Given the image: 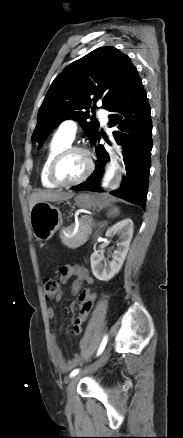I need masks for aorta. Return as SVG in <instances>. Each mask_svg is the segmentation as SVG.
I'll return each mask as SVG.
<instances>
[{
    "instance_id": "762f6f07",
    "label": "aorta",
    "mask_w": 183,
    "mask_h": 438,
    "mask_svg": "<svg viewBox=\"0 0 183 438\" xmlns=\"http://www.w3.org/2000/svg\"><path fill=\"white\" fill-rule=\"evenodd\" d=\"M114 172H115V165L112 163V166L110 167V169L105 175V180L109 181L113 177Z\"/></svg>"
}]
</instances>
